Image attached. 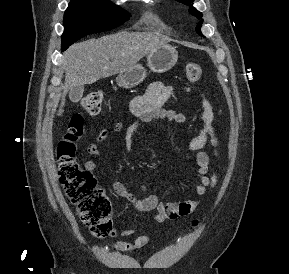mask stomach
Segmentation results:
<instances>
[{
    "mask_svg": "<svg viewBox=\"0 0 289 274\" xmlns=\"http://www.w3.org/2000/svg\"><path fill=\"white\" fill-rule=\"evenodd\" d=\"M178 60L176 49L165 44L147 54V63L151 71L164 73L170 70ZM146 77V70L141 64H136L129 70L122 72L116 78L117 85L130 89L140 84Z\"/></svg>",
    "mask_w": 289,
    "mask_h": 274,
    "instance_id": "1",
    "label": "stomach"
}]
</instances>
